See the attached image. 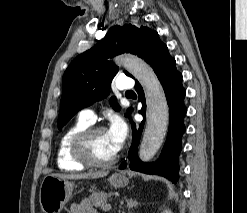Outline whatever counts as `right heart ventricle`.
<instances>
[{"mask_svg": "<svg viewBox=\"0 0 247 213\" xmlns=\"http://www.w3.org/2000/svg\"><path fill=\"white\" fill-rule=\"evenodd\" d=\"M91 126V123L81 120L80 118L69 126L61 135L57 147V165L64 171H81L85 168L77 162L72 156L71 143L74 136L81 130Z\"/></svg>", "mask_w": 247, "mask_h": 213, "instance_id": "1", "label": "right heart ventricle"}]
</instances>
